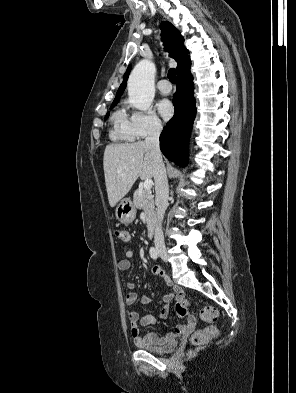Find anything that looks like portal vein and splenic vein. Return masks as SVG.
<instances>
[{
	"mask_svg": "<svg viewBox=\"0 0 296 393\" xmlns=\"http://www.w3.org/2000/svg\"><path fill=\"white\" fill-rule=\"evenodd\" d=\"M152 185H153V181L151 179H146L144 181V190L150 191V189L152 188Z\"/></svg>",
	"mask_w": 296,
	"mask_h": 393,
	"instance_id": "18ae733b",
	"label": "portal vein and splenic vein"
}]
</instances>
